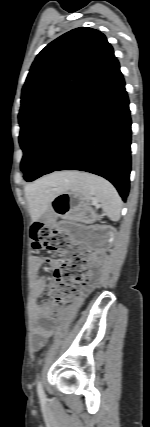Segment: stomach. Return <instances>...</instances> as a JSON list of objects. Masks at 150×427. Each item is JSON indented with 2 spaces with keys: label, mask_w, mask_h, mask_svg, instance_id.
I'll return each instance as SVG.
<instances>
[{
  "label": "stomach",
  "mask_w": 150,
  "mask_h": 427,
  "mask_svg": "<svg viewBox=\"0 0 150 427\" xmlns=\"http://www.w3.org/2000/svg\"><path fill=\"white\" fill-rule=\"evenodd\" d=\"M50 206L57 216L70 220L82 219L88 210L83 196L70 188L57 192Z\"/></svg>",
  "instance_id": "1"
}]
</instances>
